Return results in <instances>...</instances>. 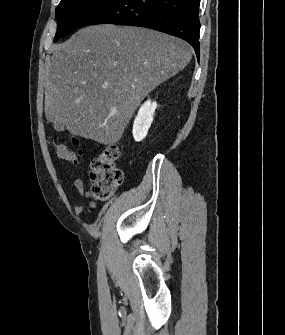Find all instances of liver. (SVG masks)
<instances>
[{"mask_svg":"<svg viewBox=\"0 0 285 335\" xmlns=\"http://www.w3.org/2000/svg\"><path fill=\"white\" fill-rule=\"evenodd\" d=\"M45 116L72 136L115 146L142 100L184 70L189 44L132 26H87L52 46Z\"/></svg>","mask_w":285,"mask_h":335,"instance_id":"obj_1","label":"liver"}]
</instances>
